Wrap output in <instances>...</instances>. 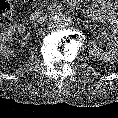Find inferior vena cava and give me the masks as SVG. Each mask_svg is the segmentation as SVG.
<instances>
[{"label":"inferior vena cava","instance_id":"obj_1","mask_svg":"<svg viewBox=\"0 0 118 118\" xmlns=\"http://www.w3.org/2000/svg\"><path fill=\"white\" fill-rule=\"evenodd\" d=\"M45 19L46 18L44 16L39 17L37 20H35V25L42 24L45 21Z\"/></svg>","mask_w":118,"mask_h":118}]
</instances>
